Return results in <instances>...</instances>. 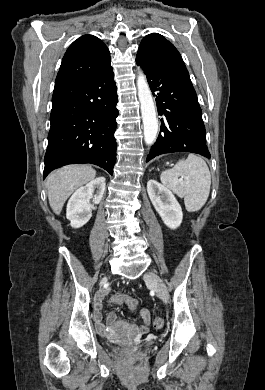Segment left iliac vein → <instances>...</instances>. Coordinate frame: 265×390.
Listing matches in <instances>:
<instances>
[{
  "label": "left iliac vein",
  "instance_id": "4c4485c4",
  "mask_svg": "<svg viewBox=\"0 0 265 390\" xmlns=\"http://www.w3.org/2000/svg\"><path fill=\"white\" fill-rule=\"evenodd\" d=\"M144 280L146 283L152 285L160 299H162L165 303L168 302L169 295L167 288L158 275L148 271L144 274Z\"/></svg>",
  "mask_w": 265,
  "mask_h": 390
}]
</instances>
